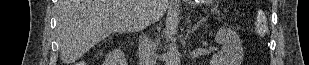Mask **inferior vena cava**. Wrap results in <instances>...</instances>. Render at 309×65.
Segmentation results:
<instances>
[{
  "label": "inferior vena cava",
  "mask_w": 309,
  "mask_h": 65,
  "mask_svg": "<svg viewBox=\"0 0 309 65\" xmlns=\"http://www.w3.org/2000/svg\"><path fill=\"white\" fill-rule=\"evenodd\" d=\"M150 24L151 22L147 23L144 28L148 27ZM138 50H139L140 65H155L156 64V53L154 49V43L152 39L144 33L139 39Z\"/></svg>",
  "instance_id": "obj_1"
}]
</instances>
